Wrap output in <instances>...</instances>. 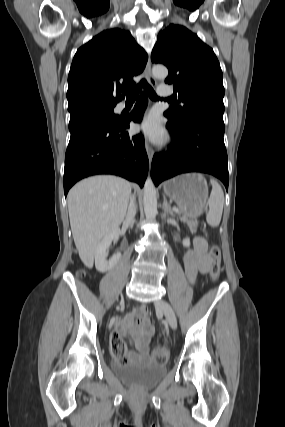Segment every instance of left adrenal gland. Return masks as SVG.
<instances>
[{"label":"left adrenal gland","instance_id":"left-adrenal-gland-1","mask_svg":"<svg viewBox=\"0 0 285 427\" xmlns=\"http://www.w3.org/2000/svg\"><path fill=\"white\" fill-rule=\"evenodd\" d=\"M163 210H164V212L170 214L171 216H174V212L171 210V207L168 204L165 196L163 197Z\"/></svg>","mask_w":285,"mask_h":427}]
</instances>
